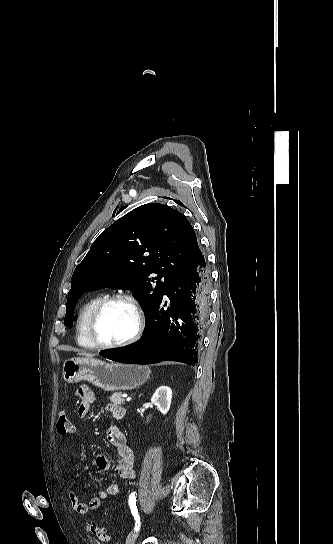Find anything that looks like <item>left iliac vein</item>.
I'll list each match as a JSON object with an SVG mask.
<instances>
[{"instance_id": "4c4485c4", "label": "left iliac vein", "mask_w": 333, "mask_h": 544, "mask_svg": "<svg viewBox=\"0 0 333 544\" xmlns=\"http://www.w3.org/2000/svg\"><path fill=\"white\" fill-rule=\"evenodd\" d=\"M139 531V529H138ZM138 531H134V532H131L127 539H126V544H134L136 539H137V536H138Z\"/></svg>"}]
</instances>
